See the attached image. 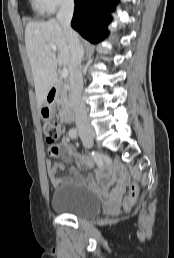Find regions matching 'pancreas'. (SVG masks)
<instances>
[{"instance_id":"pancreas-1","label":"pancreas","mask_w":174,"mask_h":258,"mask_svg":"<svg viewBox=\"0 0 174 258\" xmlns=\"http://www.w3.org/2000/svg\"><path fill=\"white\" fill-rule=\"evenodd\" d=\"M58 105L65 109L69 106V99L67 95V88L64 84L60 83L58 87V96H57Z\"/></svg>"}]
</instances>
